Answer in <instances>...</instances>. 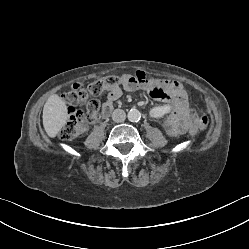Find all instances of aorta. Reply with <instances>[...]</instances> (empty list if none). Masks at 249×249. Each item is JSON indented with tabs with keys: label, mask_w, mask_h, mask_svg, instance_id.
I'll use <instances>...</instances> for the list:
<instances>
[{
	"label": "aorta",
	"mask_w": 249,
	"mask_h": 249,
	"mask_svg": "<svg viewBox=\"0 0 249 249\" xmlns=\"http://www.w3.org/2000/svg\"><path fill=\"white\" fill-rule=\"evenodd\" d=\"M127 117H128V120L131 122H138L141 118V113L139 110L133 108L129 110Z\"/></svg>",
	"instance_id": "obj_1"
}]
</instances>
